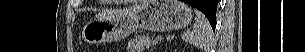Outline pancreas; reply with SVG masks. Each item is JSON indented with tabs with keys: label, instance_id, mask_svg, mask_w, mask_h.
Here are the masks:
<instances>
[{
	"label": "pancreas",
	"instance_id": "cf45deb5",
	"mask_svg": "<svg viewBox=\"0 0 305 52\" xmlns=\"http://www.w3.org/2000/svg\"><path fill=\"white\" fill-rule=\"evenodd\" d=\"M155 44L152 36L149 34L138 35L128 42V52H142L145 47H151Z\"/></svg>",
	"mask_w": 305,
	"mask_h": 52
}]
</instances>
